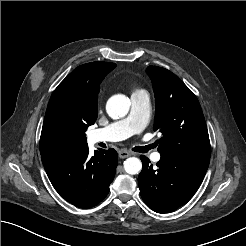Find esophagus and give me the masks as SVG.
<instances>
[{
  "label": "esophagus",
  "instance_id": "34e87169",
  "mask_svg": "<svg viewBox=\"0 0 246 246\" xmlns=\"http://www.w3.org/2000/svg\"><path fill=\"white\" fill-rule=\"evenodd\" d=\"M118 155H119V157L121 159H124V158H127V157L131 156L132 153H130L128 151H125V150H121V151H119V154Z\"/></svg>",
  "mask_w": 246,
  "mask_h": 246
}]
</instances>
